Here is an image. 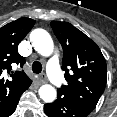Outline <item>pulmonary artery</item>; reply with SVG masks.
Listing matches in <instances>:
<instances>
[{"instance_id":"pulmonary-artery-1","label":"pulmonary artery","mask_w":117,"mask_h":117,"mask_svg":"<svg viewBox=\"0 0 117 117\" xmlns=\"http://www.w3.org/2000/svg\"><path fill=\"white\" fill-rule=\"evenodd\" d=\"M47 71L51 82L57 87L61 86L63 77L59 68L58 56L56 54L49 59Z\"/></svg>"}]
</instances>
